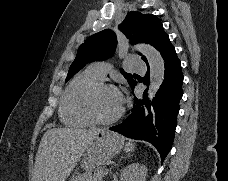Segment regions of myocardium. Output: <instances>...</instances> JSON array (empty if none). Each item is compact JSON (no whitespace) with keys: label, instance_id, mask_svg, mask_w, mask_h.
Masks as SVG:
<instances>
[{"label":"myocardium","instance_id":"obj_1","mask_svg":"<svg viewBox=\"0 0 228 181\" xmlns=\"http://www.w3.org/2000/svg\"><path fill=\"white\" fill-rule=\"evenodd\" d=\"M105 89H114L116 90V86L111 83V82H106V81H100L98 84H96L93 89L90 92V96L87 102V112L89 114V116L91 117V119L98 123V124H110L115 122L116 120H118L120 118V116L122 115L123 110L120 109L115 115L111 116V117H102L98 111H97V107H96V101H97V97L99 95V93Z\"/></svg>","mask_w":228,"mask_h":181}]
</instances>
